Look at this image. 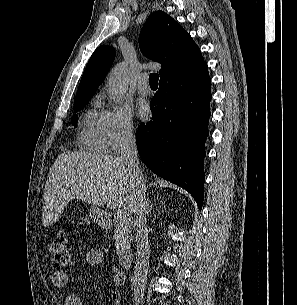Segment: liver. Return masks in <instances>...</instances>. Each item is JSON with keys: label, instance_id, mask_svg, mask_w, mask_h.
Returning a JSON list of instances; mask_svg holds the SVG:
<instances>
[{"label": "liver", "instance_id": "6515ba94", "mask_svg": "<svg viewBox=\"0 0 297 305\" xmlns=\"http://www.w3.org/2000/svg\"><path fill=\"white\" fill-rule=\"evenodd\" d=\"M135 179L119 156L63 152L50 168L44 189V227L58 220L72 199L93 206L126 207L132 213Z\"/></svg>", "mask_w": 297, "mask_h": 305}]
</instances>
